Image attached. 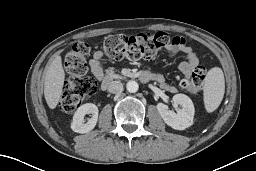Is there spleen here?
<instances>
[{"label": "spleen", "instance_id": "spleen-1", "mask_svg": "<svg viewBox=\"0 0 256 171\" xmlns=\"http://www.w3.org/2000/svg\"><path fill=\"white\" fill-rule=\"evenodd\" d=\"M204 106L208 113L215 111L225 92L224 74L221 68L214 67L207 72L204 81Z\"/></svg>", "mask_w": 256, "mask_h": 171}]
</instances>
